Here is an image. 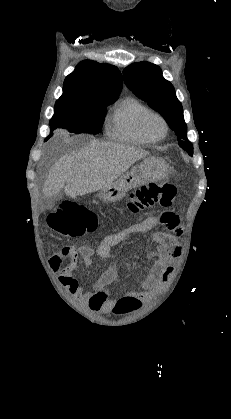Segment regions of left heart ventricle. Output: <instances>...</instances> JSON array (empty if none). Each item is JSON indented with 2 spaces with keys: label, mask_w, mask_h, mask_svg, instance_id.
<instances>
[{
  "label": "left heart ventricle",
  "mask_w": 231,
  "mask_h": 419,
  "mask_svg": "<svg viewBox=\"0 0 231 419\" xmlns=\"http://www.w3.org/2000/svg\"><path fill=\"white\" fill-rule=\"evenodd\" d=\"M148 130L153 136L158 137L162 135L164 127L158 118L153 117L148 122Z\"/></svg>",
  "instance_id": "obj_1"
}]
</instances>
